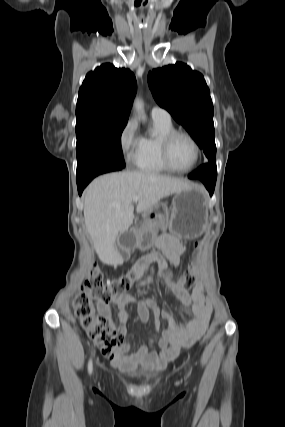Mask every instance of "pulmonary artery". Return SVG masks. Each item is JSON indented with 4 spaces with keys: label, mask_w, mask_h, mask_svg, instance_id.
I'll return each mask as SVG.
<instances>
[{
    "label": "pulmonary artery",
    "mask_w": 285,
    "mask_h": 427,
    "mask_svg": "<svg viewBox=\"0 0 285 427\" xmlns=\"http://www.w3.org/2000/svg\"><path fill=\"white\" fill-rule=\"evenodd\" d=\"M151 117L153 119H159V120H163V121H171L170 113L166 109L161 108L159 106H154L151 109Z\"/></svg>",
    "instance_id": "pulmonary-artery-1"
}]
</instances>
